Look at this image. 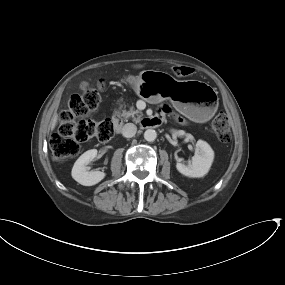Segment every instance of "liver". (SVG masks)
Masks as SVG:
<instances>
[{
    "label": "liver",
    "mask_w": 285,
    "mask_h": 285,
    "mask_svg": "<svg viewBox=\"0 0 285 285\" xmlns=\"http://www.w3.org/2000/svg\"><path fill=\"white\" fill-rule=\"evenodd\" d=\"M134 67L141 68L142 65H135ZM57 124V116H54L51 121V129L53 130Z\"/></svg>",
    "instance_id": "liver-1"
}]
</instances>
